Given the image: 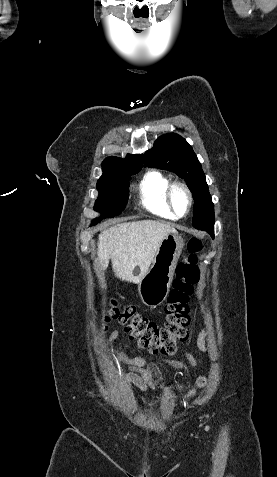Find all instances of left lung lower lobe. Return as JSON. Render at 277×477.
Instances as JSON below:
<instances>
[{"instance_id":"obj_1","label":"left lung lower lobe","mask_w":277,"mask_h":477,"mask_svg":"<svg viewBox=\"0 0 277 477\" xmlns=\"http://www.w3.org/2000/svg\"><path fill=\"white\" fill-rule=\"evenodd\" d=\"M200 229L206 230L212 236V238H214V224L205 225Z\"/></svg>"}]
</instances>
